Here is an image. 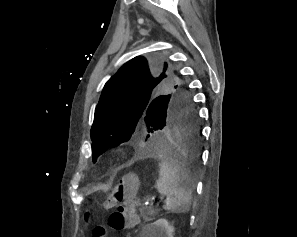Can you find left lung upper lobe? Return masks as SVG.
<instances>
[{
    "label": "left lung upper lobe",
    "instance_id": "5c2ea615",
    "mask_svg": "<svg viewBox=\"0 0 297 237\" xmlns=\"http://www.w3.org/2000/svg\"><path fill=\"white\" fill-rule=\"evenodd\" d=\"M191 102L189 88L160 59L137 56L105 84L91 128L93 162L122 144L139 155L178 102Z\"/></svg>",
    "mask_w": 297,
    "mask_h": 237
}]
</instances>
